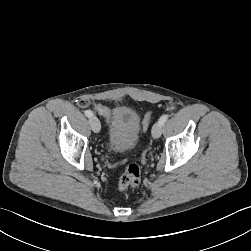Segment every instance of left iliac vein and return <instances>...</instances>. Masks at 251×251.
Masks as SVG:
<instances>
[{
    "instance_id": "left-iliac-vein-1",
    "label": "left iliac vein",
    "mask_w": 251,
    "mask_h": 251,
    "mask_svg": "<svg viewBox=\"0 0 251 251\" xmlns=\"http://www.w3.org/2000/svg\"><path fill=\"white\" fill-rule=\"evenodd\" d=\"M162 134V124L158 121L157 123L154 124L152 128V136L157 139L161 136Z\"/></svg>"
}]
</instances>
